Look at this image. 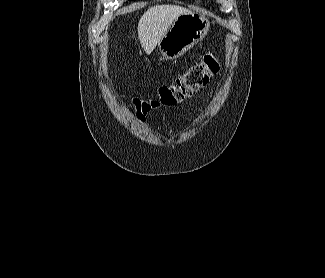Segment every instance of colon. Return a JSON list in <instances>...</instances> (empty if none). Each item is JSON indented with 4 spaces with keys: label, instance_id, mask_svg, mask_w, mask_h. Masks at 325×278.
Wrapping results in <instances>:
<instances>
[{
    "label": "colon",
    "instance_id": "obj_1",
    "mask_svg": "<svg viewBox=\"0 0 325 278\" xmlns=\"http://www.w3.org/2000/svg\"><path fill=\"white\" fill-rule=\"evenodd\" d=\"M219 69L218 58L212 53L206 54L186 73L177 77L173 82L160 86L152 97L135 99L133 104L137 117L143 119L151 110L173 106L190 98L195 92L205 87Z\"/></svg>",
    "mask_w": 325,
    "mask_h": 278
}]
</instances>
